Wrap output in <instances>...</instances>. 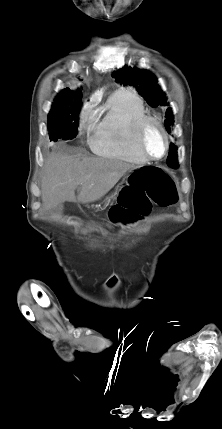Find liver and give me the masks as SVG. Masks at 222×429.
Segmentation results:
<instances>
[{
	"label": "liver",
	"instance_id": "1",
	"mask_svg": "<svg viewBox=\"0 0 222 429\" xmlns=\"http://www.w3.org/2000/svg\"><path fill=\"white\" fill-rule=\"evenodd\" d=\"M136 169L117 159L81 154H52L45 162L41 180L43 208L51 210L67 202H94L108 193L122 176ZM81 186L79 195L75 189Z\"/></svg>",
	"mask_w": 222,
	"mask_h": 429
}]
</instances>
